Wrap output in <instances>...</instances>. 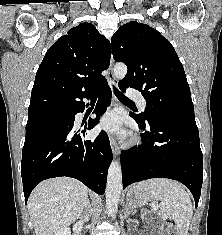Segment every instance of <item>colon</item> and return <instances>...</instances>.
<instances>
[{
	"label": "colon",
	"instance_id": "colon-1",
	"mask_svg": "<svg viewBox=\"0 0 222 235\" xmlns=\"http://www.w3.org/2000/svg\"><path fill=\"white\" fill-rule=\"evenodd\" d=\"M161 235H179L175 223L167 221L162 228Z\"/></svg>",
	"mask_w": 222,
	"mask_h": 235
}]
</instances>
